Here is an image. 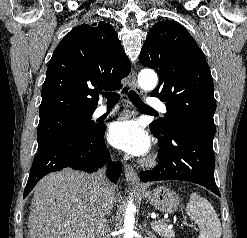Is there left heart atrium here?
<instances>
[{"instance_id": "1", "label": "left heart atrium", "mask_w": 247, "mask_h": 238, "mask_svg": "<svg viewBox=\"0 0 247 238\" xmlns=\"http://www.w3.org/2000/svg\"><path fill=\"white\" fill-rule=\"evenodd\" d=\"M108 140L112 146L133 155L146 153L150 146L144 129L134 120L113 123L109 129Z\"/></svg>"}]
</instances>
